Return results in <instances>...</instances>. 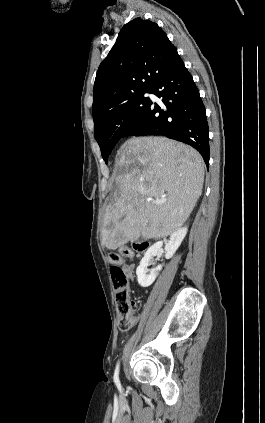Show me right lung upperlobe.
<instances>
[{
  "label": "right lung upper lobe",
  "mask_w": 265,
  "mask_h": 423,
  "mask_svg": "<svg viewBox=\"0 0 265 423\" xmlns=\"http://www.w3.org/2000/svg\"><path fill=\"white\" fill-rule=\"evenodd\" d=\"M175 55L176 47L156 23L141 18L127 23L98 68L93 89L94 121L122 100L150 90Z\"/></svg>",
  "instance_id": "cb5924a9"
}]
</instances>
